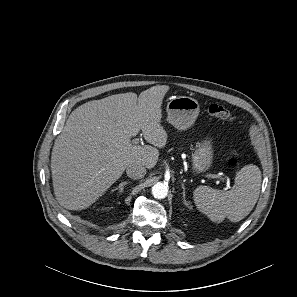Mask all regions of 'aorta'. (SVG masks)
<instances>
[{
    "label": "aorta",
    "instance_id": "762f6f07",
    "mask_svg": "<svg viewBox=\"0 0 297 297\" xmlns=\"http://www.w3.org/2000/svg\"><path fill=\"white\" fill-rule=\"evenodd\" d=\"M167 194L168 187L162 182H158L152 187V195L157 199H163L167 196Z\"/></svg>",
    "mask_w": 297,
    "mask_h": 297
}]
</instances>
